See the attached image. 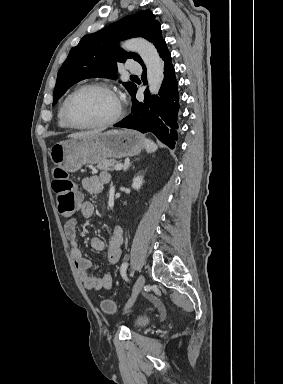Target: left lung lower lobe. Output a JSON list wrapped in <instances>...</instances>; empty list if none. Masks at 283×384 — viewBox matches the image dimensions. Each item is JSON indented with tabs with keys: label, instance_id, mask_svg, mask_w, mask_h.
I'll return each instance as SVG.
<instances>
[{
	"label": "left lung lower lobe",
	"instance_id": "left-lung-lower-lobe-1",
	"mask_svg": "<svg viewBox=\"0 0 283 384\" xmlns=\"http://www.w3.org/2000/svg\"><path fill=\"white\" fill-rule=\"evenodd\" d=\"M159 55L164 60V80L159 94L150 96L145 90V99L138 102L135 99L136 90L132 93V112L125 119L115 124V127L135 129L142 133L152 132L163 143L174 148L178 129L177 114L179 111L178 82L171 63V55L166 43L159 49ZM143 67L142 80L146 82V67Z\"/></svg>",
	"mask_w": 283,
	"mask_h": 384
}]
</instances>
